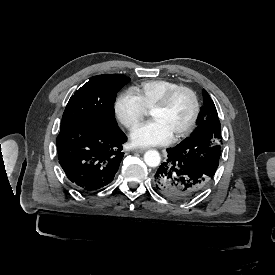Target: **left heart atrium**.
Instances as JSON below:
<instances>
[{"instance_id":"obj_1","label":"left heart atrium","mask_w":275,"mask_h":275,"mask_svg":"<svg viewBox=\"0 0 275 275\" xmlns=\"http://www.w3.org/2000/svg\"><path fill=\"white\" fill-rule=\"evenodd\" d=\"M171 138L169 132L156 120L137 126L130 135L134 146H153L166 143Z\"/></svg>"}]
</instances>
